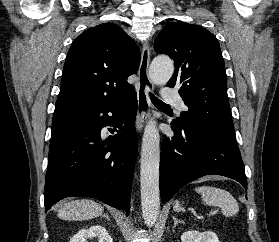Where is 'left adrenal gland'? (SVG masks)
I'll use <instances>...</instances> for the list:
<instances>
[{
	"label": "left adrenal gland",
	"mask_w": 279,
	"mask_h": 242,
	"mask_svg": "<svg viewBox=\"0 0 279 242\" xmlns=\"http://www.w3.org/2000/svg\"><path fill=\"white\" fill-rule=\"evenodd\" d=\"M173 218V220H174V226H173V228H175L176 227V225L178 224V223H183L184 224V221H181V220H178L176 217H172Z\"/></svg>",
	"instance_id": "left-adrenal-gland-1"
}]
</instances>
